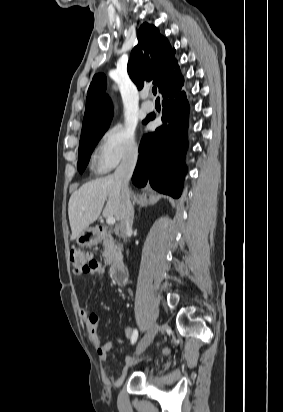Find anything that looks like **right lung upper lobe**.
Listing matches in <instances>:
<instances>
[{
	"instance_id": "cb5924a9",
	"label": "right lung upper lobe",
	"mask_w": 283,
	"mask_h": 412,
	"mask_svg": "<svg viewBox=\"0 0 283 412\" xmlns=\"http://www.w3.org/2000/svg\"><path fill=\"white\" fill-rule=\"evenodd\" d=\"M138 45L131 52L128 74L138 89L153 82L162 93L168 86L174 87L183 76L175 58V49L154 25L144 23L137 32ZM106 77L97 74L88 89L81 138L106 131L113 110L109 97L104 94Z\"/></svg>"
}]
</instances>
